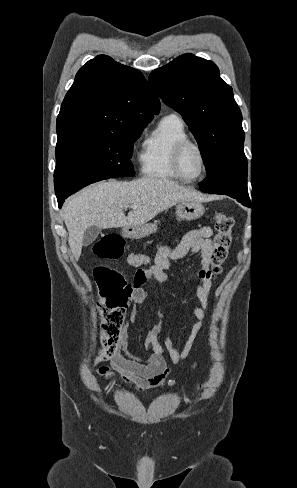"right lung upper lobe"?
I'll return each instance as SVG.
<instances>
[{"mask_svg": "<svg viewBox=\"0 0 297 488\" xmlns=\"http://www.w3.org/2000/svg\"><path fill=\"white\" fill-rule=\"evenodd\" d=\"M159 110L140 71L99 55L76 74L57 117V135L129 129L149 123Z\"/></svg>", "mask_w": 297, "mask_h": 488, "instance_id": "cb5924a9", "label": "right lung upper lobe"}]
</instances>
